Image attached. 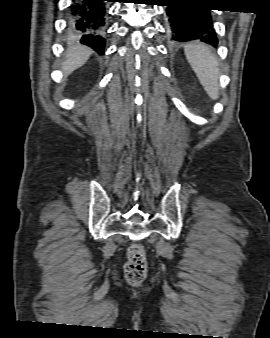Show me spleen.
Instances as JSON below:
<instances>
[{"instance_id":"1","label":"spleen","mask_w":270,"mask_h":338,"mask_svg":"<svg viewBox=\"0 0 270 338\" xmlns=\"http://www.w3.org/2000/svg\"><path fill=\"white\" fill-rule=\"evenodd\" d=\"M184 53L206 93L211 99H218L219 67L217 57L203 43L186 45Z\"/></svg>"}]
</instances>
